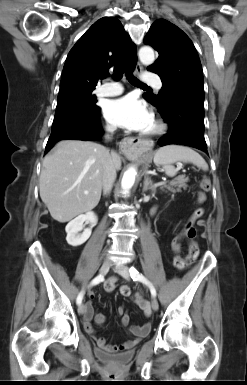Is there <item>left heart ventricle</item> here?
<instances>
[{
  "label": "left heart ventricle",
  "mask_w": 247,
  "mask_h": 385,
  "mask_svg": "<svg viewBox=\"0 0 247 385\" xmlns=\"http://www.w3.org/2000/svg\"><path fill=\"white\" fill-rule=\"evenodd\" d=\"M153 128V122H152V124L150 125V127L146 130V131H149V130H151Z\"/></svg>",
  "instance_id": "b2bd125f"
}]
</instances>
